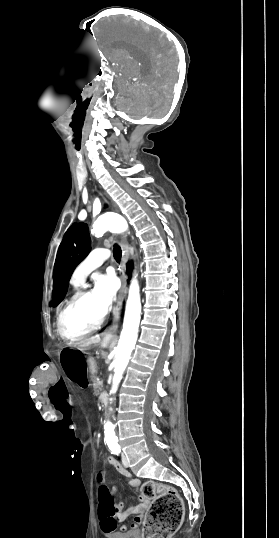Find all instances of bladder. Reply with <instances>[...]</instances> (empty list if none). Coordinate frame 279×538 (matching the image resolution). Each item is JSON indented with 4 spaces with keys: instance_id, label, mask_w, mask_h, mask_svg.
I'll return each mask as SVG.
<instances>
[{
    "instance_id": "31cf9c89",
    "label": "bladder",
    "mask_w": 279,
    "mask_h": 538,
    "mask_svg": "<svg viewBox=\"0 0 279 538\" xmlns=\"http://www.w3.org/2000/svg\"><path fill=\"white\" fill-rule=\"evenodd\" d=\"M107 538H139L138 532H108Z\"/></svg>"
}]
</instances>
